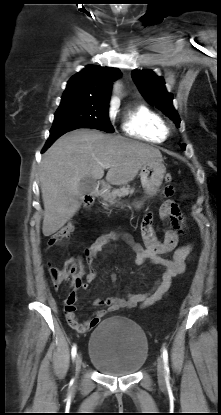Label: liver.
<instances>
[{
  "mask_svg": "<svg viewBox=\"0 0 221 415\" xmlns=\"http://www.w3.org/2000/svg\"><path fill=\"white\" fill-rule=\"evenodd\" d=\"M156 160L162 161L157 148L97 130L78 129L60 137L41 161L44 236L54 234L74 216L82 199L80 180L86 176L101 179V164H110L108 183L123 185L132 181L143 165Z\"/></svg>",
  "mask_w": 221,
  "mask_h": 415,
  "instance_id": "liver-1",
  "label": "liver"
}]
</instances>
